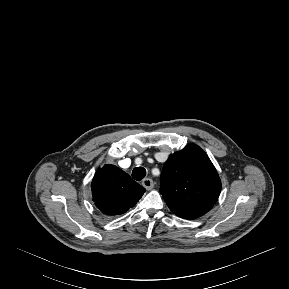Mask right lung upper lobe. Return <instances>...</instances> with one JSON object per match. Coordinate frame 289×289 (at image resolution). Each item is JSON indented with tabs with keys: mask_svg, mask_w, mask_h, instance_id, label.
Masks as SVG:
<instances>
[{
	"mask_svg": "<svg viewBox=\"0 0 289 289\" xmlns=\"http://www.w3.org/2000/svg\"><path fill=\"white\" fill-rule=\"evenodd\" d=\"M91 190L95 205L106 215L125 213L145 192V188L127 173L110 164H105L96 171Z\"/></svg>",
	"mask_w": 289,
	"mask_h": 289,
	"instance_id": "cb5924a9",
	"label": "right lung upper lobe"
}]
</instances>
